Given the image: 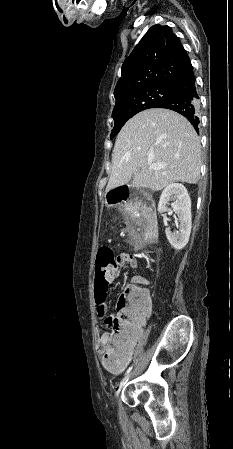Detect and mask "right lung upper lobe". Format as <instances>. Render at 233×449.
Wrapping results in <instances>:
<instances>
[{
	"mask_svg": "<svg viewBox=\"0 0 233 449\" xmlns=\"http://www.w3.org/2000/svg\"><path fill=\"white\" fill-rule=\"evenodd\" d=\"M114 96L153 85H170L194 77L186 50L171 27L154 25L122 65Z\"/></svg>",
	"mask_w": 233,
	"mask_h": 449,
	"instance_id": "1",
	"label": "right lung upper lobe"
}]
</instances>
